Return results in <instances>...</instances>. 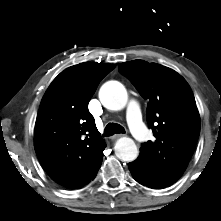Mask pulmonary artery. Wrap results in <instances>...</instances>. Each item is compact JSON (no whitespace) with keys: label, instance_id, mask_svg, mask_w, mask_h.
I'll return each instance as SVG.
<instances>
[{"label":"pulmonary artery","instance_id":"1","mask_svg":"<svg viewBox=\"0 0 221 221\" xmlns=\"http://www.w3.org/2000/svg\"><path fill=\"white\" fill-rule=\"evenodd\" d=\"M128 120L132 134L139 141L147 140L148 131L141 121L140 106L134 100H131L128 104Z\"/></svg>","mask_w":221,"mask_h":221}]
</instances>
